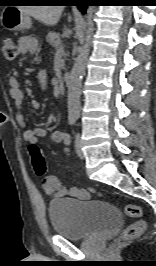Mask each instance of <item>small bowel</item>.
Returning a JSON list of instances; mask_svg holds the SVG:
<instances>
[{
    "mask_svg": "<svg viewBox=\"0 0 156 266\" xmlns=\"http://www.w3.org/2000/svg\"><path fill=\"white\" fill-rule=\"evenodd\" d=\"M18 48L21 54H33L37 51V42L34 38L22 37L19 40ZM39 79L42 83L45 82L43 74L39 75ZM9 94L16 108V122L23 129V139L31 146L37 145L44 137L49 135L52 141L62 143L65 146L64 151L67 152L70 137L66 132L53 131L49 133L45 128L41 127L32 129L26 128V121L23 114L24 93L20 87L19 81L15 77L9 79ZM32 106L37 109L39 104L34 101L32 102ZM43 188L47 194L56 197H75L80 200H87L90 196L85 189L63 185L55 176H47L43 180Z\"/></svg>",
    "mask_w": 156,
    "mask_h": 266,
    "instance_id": "obj_1",
    "label": "small bowel"
}]
</instances>
